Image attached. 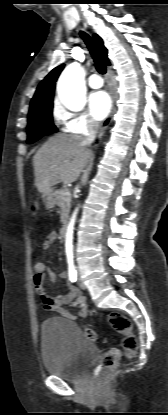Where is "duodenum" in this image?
<instances>
[{"label": "duodenum", "mask_w": 168, "mask_h": 415, "mask_svg": "<svg viewBox=\"0 0 168 415\" xmlns=\"http://www.w3.org/2000/svg\"><path fill=\"white\" fill-rule=\"evenodd\" d=\"M59 233H60L61 236H65L66 235V233H67V224L66 223H64L61 226V228L59 230Z\"/></svg>", "instance_id": "410a0bca"}]
</instances>
